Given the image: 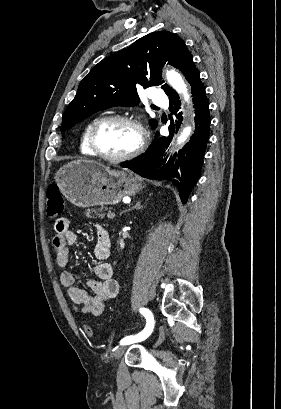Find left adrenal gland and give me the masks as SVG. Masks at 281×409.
<instances>
[{"label":"left adrenal gland","mask_w":281,"mask_h":409,"mask_svg":"<svg viewBox=\"0 0 281 409\" xmlns=\"http://www.w3.org/2000/svg\"><path fill=\"white\" fill-rule=\"evenodd\" d=\"M134 209H143L140 200H138V202H136L135 207H132V209H128V211H134ZM123 213H126V211H123ZM122 215V213H121Z\"/></svg>","instance_id":"left-adrenal-gland-1"}]
</instances>
